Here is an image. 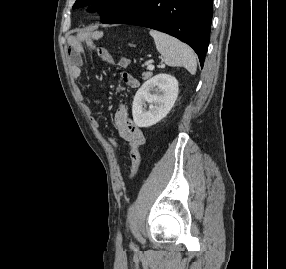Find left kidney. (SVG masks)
<instances>
[{"instance_id":"1","label":"left kidney","mask_w":286,"mask_h":269,"mask_svg":"<svg viewBox=\"0 0 286 269\" xmlns=\"http://www.w3.org/2000/svg\"><path fill=\"white\" fill-rule=\"evenodd\" d=\"M178 92V81L171 75L161 73L147 80L133 100L132 115L135 125L143 128L161 121L174 106ZM146 102L149 103L148 110Z\"/></svg>"}]
</instances>
